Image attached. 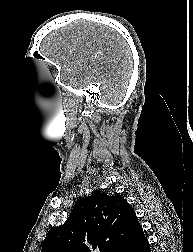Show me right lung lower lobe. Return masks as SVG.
<instances>
[{"mask_svg": "<svg viewBox=\"0 0 193 252\" xmlns=\"http://www.w3.org/2000/svg\"><path fill=\"white\" fill-rule=\"evenodd\" d=\"M121 252H151L149 242L141 229Z\"/></svg>", "mask_w": 193, "mask_h": 252, "instance_id": "right-lung-lower-lobe-1", "label": "right lung lower lobe"}]
</instances>
